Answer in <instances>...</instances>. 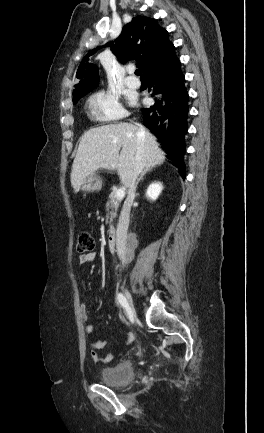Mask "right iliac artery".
<instances>
[{
    "mask_svg": "<svg viewBox=\"0 0 264 433\" xmlns=\"http://www.w3.org/2000/svg\"><path fill=\"white\" fill-rule=\"evenodd\" d=\"M117 299H118V302L120 303V305L123 307V309L128 311L129 306H128L127 300L123 296V294H121V293L117 294Z\"/></svg>",
    "mask_w": 264,
    "mask_h": 433,
    "instance_id": "1",
    "label": "right iliac artery"
}]
</instances>
